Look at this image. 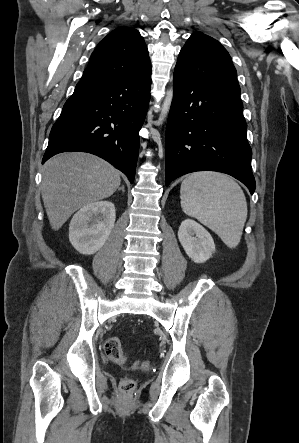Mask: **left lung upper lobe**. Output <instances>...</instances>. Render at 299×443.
Segmentation results:
<instances>
[{"label":"left lung upper lobe","mask_w":299,"mask_h":443,"mask_svg":"<svg viewBox=\"0 0 299 443\" xmlns=\"http://www.w3.org/2000/svg\"><path fill=\"white\" fill-rule=\"evenodd\" d=\"M175 71L240 98L236 69L227 50L212 37L194 32L181 49Z\"/></svg>","instance_id":"1"}]
</instances>
